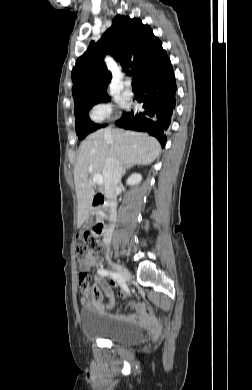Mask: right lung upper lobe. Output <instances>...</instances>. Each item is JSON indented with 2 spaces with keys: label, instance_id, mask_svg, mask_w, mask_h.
<instances>
[{
  "label": "right lung upper lobe",
  "instance_id": "obj_1",
  "mask_svg": "<svg viewBox=\"0 0 252 390\" xmlns=\"http://www.w3.org/2000/svg\"><path fill=\"white\" fill-rule=\"evenodd\" d=\"M110 54L124 69L132 68L139 84L144 78L158 75L172 67L160 40L139 19L117 15L101 39L89 44L72 70V93L75 108L108 97L107 84L112 76L103 61Z\"/></svg>",
  "mask_w": 252,
  "mask_h": 390
}]
</instances>
